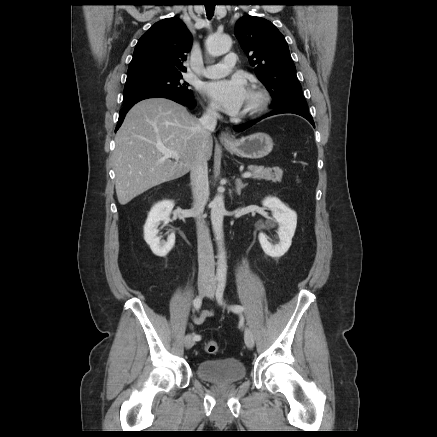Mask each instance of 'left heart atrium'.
I'll return each mask as SVG.
<instances>
[{"instance_id": "39dd6f15", "label": "left heart atrium", "mask_w": 437, "mask_h": 437, "mask_svg": "<svg viewBox=\"0 0 437 437\" xmlns=\"http://www.w3.org/2000/svg\"><path fill=\"white\" fill-rule=\"evenodd\" d=\"M203 91L229 115H238L242 112L249 92L242 78L208 82L203 86Z\"/></svg>"}]
</instances>
